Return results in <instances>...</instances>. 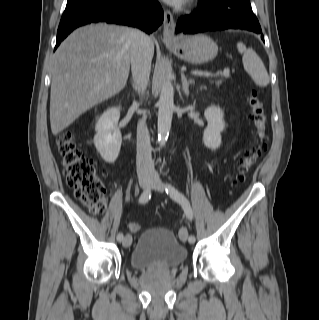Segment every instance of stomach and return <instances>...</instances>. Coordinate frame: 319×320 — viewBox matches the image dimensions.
Here are the masks:
<instances>
[{"mask_svg":"<svg viewBox=\"0 0 319 320\" xmlns=\"http://www.w3.org/2000/svg\"><path fill=\"white\" fill-rule=\"evenodd\" d=\"M168 46L180 59L192 64L207 63L213 60L218 53L217 44L204 34L181 37Z\"/></svg>","mask_w":319,"mask_h":320,"instance_id":"0dacf381","label":"stomach"}]
</instances>
